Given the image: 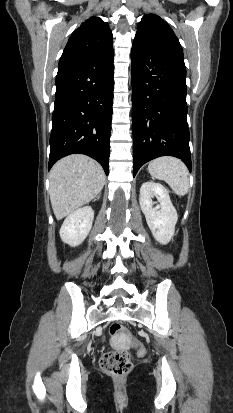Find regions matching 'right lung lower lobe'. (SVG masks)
Listing matches in <instances>:
<instances>
[{"label": "right lung lower lobe", "mask_w": 233, "mask_h": 413, "mask_svg": "<svg viewBox=\"0 0 233 413\" xmlns=\"http://www.w3.org/2000/svg\"><path fill=\"white\" fill-rule=\"evenodd\" d=\"M113 85V48L59 65L48 170L60 158L80 153L97 160L108 175Z\"/></svg>", "instance_id": "1"}]
</instances>
